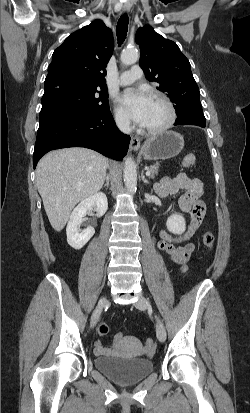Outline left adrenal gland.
Listing matches in <instances>:
<instances>
[{
    "mask_svg": "<svg viewBox=\"0 0 250 413\" xmlns=\"http://www.w3.org/2000/svg\"><path fill=\"white\" fill-rule=\"evenodd\" d=\"M141 178H142V181H143L144 183L149 184V181L145 178L143 172H142V174H141Z\"/></svg>",
    "mask_w": 250,
    "mask_h": 413,
    "instance_id": "1",
    "label": "left adrenal gland"
}]
</instances>
